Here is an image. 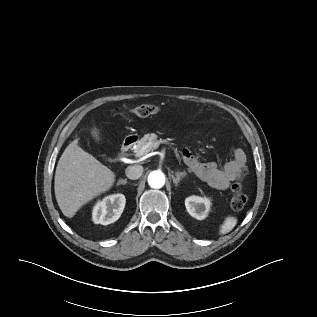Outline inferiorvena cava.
I'll return each mask as SVG.
<instances>
[{"instance_id":"inferior-vena-cava-1","label":"inferior vena cava","mask_w":317,"mask_h":317,"mask_svg":"<svg viewBox=\"0 0 317 317\" xmlns=\"http://www.w3.org/2000/svg\"><path fill=\"white\" fill-rule=\"evenodd\" d=\"M143 173V167L141 165H131L125 170L126 176L131 180H136L141 177Z\"/></svg>"}]
</instances>
